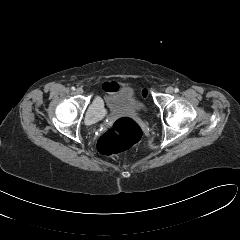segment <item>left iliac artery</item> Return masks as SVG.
Wrapping results in <instances>:
<instances>
[{
	"label": "left iliac artery",
	"instance_id": "44dca946",
	"mask_svg": "<svg viewBox=\"0 0 240 240\" xmlns=\"http://www.w3.org/2000/svg\"><path fill=\"white\" fill-rule=\"evenodd\" d=\"M174 92H175V93H178V92H179V89H178V88H175V89H174Z\"/></svg>",
	"mask_w": 240,
	"mask_h": 240
}]
</instances>
